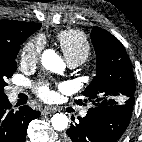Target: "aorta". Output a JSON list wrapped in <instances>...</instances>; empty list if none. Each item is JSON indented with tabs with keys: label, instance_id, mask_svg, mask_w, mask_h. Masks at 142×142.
Wrapping results in <instances>:
<instances>
[{
	"label": "aorta",
	"instance_id": "aorta-1",
	"mask_svg": "<svg viewBox=\"0 0 142 142\" xmlns=\"http://www.w3.org/2000/svg\"><path fill=\"white\" fill-rule=\"evenodd\" d=\"M42 65L49 71L62 73L65 65L62 58L53 50L46 49L41 55ZM69 119L63 113H57L51 118L52 127L57 131H63L68 127Z\"/></svg>",
	"mask_w": 142,
	"mask_h": 142
}]
</instances>
